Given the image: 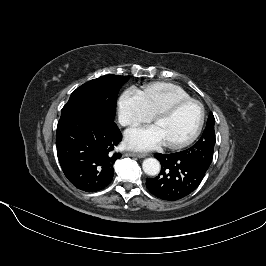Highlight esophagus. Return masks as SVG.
<instances>
[{
	"instance_id": "1",
	"label": "esophagus",
	"mask_w": 266,
	"mask_h": 266,
	"mask_svg": "<svg viewBox=\"0 0 266 266\" xmlns=\"http://www.w3.org/2000/svg\"><path fill=\"white\" fill-rule=\"evenodd\" d=\"M126 155L130 157H137V158H144L148 156V154H140V153H127Z\"/></svg>"
}]
</instances>
